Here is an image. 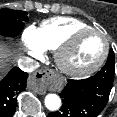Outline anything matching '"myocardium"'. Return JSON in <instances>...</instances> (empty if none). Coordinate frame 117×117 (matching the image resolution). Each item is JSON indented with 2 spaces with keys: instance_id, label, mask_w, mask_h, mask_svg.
<instances>
[{
  "instance_id": "myocardium-1",
  "label": "myocardium",
  "mask_w": 117,
  "mask_h": 117,
  "mask_svg": "<svg viewBox=\"0 0 117 117\" xmlns=\"http://www.w3.org/2000/svg\"><path fill=\"white\" fill-rule=\"evenodd\" d=\"M88 34H96L102 37L103 42H104L103 52L101 56L99 57V59L93 64L87 67H83V68L73 67L68 63L67 57L69 53L72 51V49L75 47V45L77 44L78 40L81 37L88 35ZM109 50H110V44H109L108 37L101 30L92 28V27L77 30L73 32L72 34H70L64 40V42L58 47L56 54H55L56 64L58 68L60 69V71L63 72L67 76L85 77L96 72L104 64V62L106 61L108 57Z\"/></svg>"
}]
</instances>
